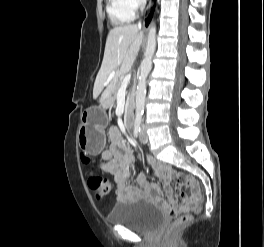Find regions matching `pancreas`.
I'll list each match as a JSON object with an SVG mask.
<instances>
[{"label":"pancreas","mask_w":264,"mask_h":247,"mask_svg":"<svg viewBox=\"0 0 264 247\" xmlns=\"http://www.w3.org/2000/svg\"><path fill=\"white\" fill-rule=\"evenodd\" d=\"M120 88V84H117L113 90H112V97H109L105 102H104V105L105 106H108V105H112L115 100H116V96H117V92H118V89ZM132 100H133V93H131L129 95V98H128V102H127V110L130 108V105L132 103Z\"/></svg>","instance_id":"cf45deb5"}]
</instances>
